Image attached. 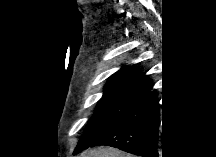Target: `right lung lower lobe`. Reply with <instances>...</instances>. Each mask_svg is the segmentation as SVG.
Instances as JSON below:
<instances>
[{
    "label": "right lung lower lobe",
    "instance_id": "obj_1",
    "mask_svg": "<svg viewBox=\"0 0 216 157\" xmlns=\"http://www.w3.org/2000/svg\"><path fill=\"white\" fill-rule=\"evenodd\" d=\"M152 86L137 91L121 120L91 146L107 145L141 157H160L163 119Z\"/></svg>",
    "mask_w": 216,
    "mask_h": 157
}]
</instances>
